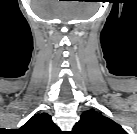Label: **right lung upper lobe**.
Returning a JSON list of instances; mask_svg holds the SVG:
<instances>
[{"label": "right lung upper lobe", "mask_w": 137, "mask_h": 134, "mask_svg": "<svg viewBox=\"0 0 137 134\" xmlns=\"http://www.w3.org/2000/svg\"><path fill=\"white\" fill-rule=\"evenodd\" d=\"M21 134H59V127L47 113H39L31 117L20 129Z\"/></svg>", "instance_id": "obj_1"}]
</instances>
